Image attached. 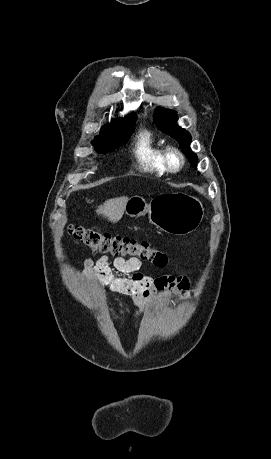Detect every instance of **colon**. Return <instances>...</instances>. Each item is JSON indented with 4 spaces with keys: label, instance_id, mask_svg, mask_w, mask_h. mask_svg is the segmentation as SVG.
<instances>
[{
    "label": "colon",
    "instance_id": "5ec220e1",
    "mask_svg": "<svg viewBox=\"0 0 271 459\" xmlns=\"http://www.w3.org/2000/svg\"><path fill=\"white\" fill-rule=\"evenodd\" d=\"M67 233L76 242L93 251L138 258L158 267H165L169 264L168 256L146 241L110 235L101 230L75 225L69 226Z\"/></svg>",
    "mask_w": 271,
    "mask_h": 459
}]
</instances>
